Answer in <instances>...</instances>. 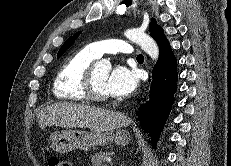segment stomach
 <instances>
[{
  "label": "stomach",
  "mask_w": 231,
  "mask_h": 166,
  "mask_svg": "<svg viewBox=\"0 0 231 166\" xmlns=\"http://www.w3.org/2000/svg\"><path fill=\"white\" fill-rule=\"evenodd\" d=\"M130 140L128 131H84V130H61L50 135L51 148L60 154L69 153L76 149H89L95 146H104L109 142L125 146Z\"/></svg>",
  "instance_id": "1"
}]
</instances>
